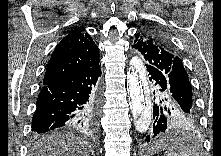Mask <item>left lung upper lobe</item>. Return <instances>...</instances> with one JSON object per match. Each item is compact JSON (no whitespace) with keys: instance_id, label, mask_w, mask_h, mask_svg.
Returning <instances> with one entry per match:
<instances>
[{"instance_id":"5c2ea615","label":"left lung upper lobe","mask_w":221,"mask_h":156,"mask_svg":"<svg viewBox=\"0 0 221 156\" xmlns=\"http://www.w3.org/2000/svg\"><path fill=\"white\" fill-rule=\"evenodd\" d=\"M133 47L142 54L147 63L146 67H153L168 74L171 93L177 103L187 109V112H196L191 84L182 60L175 55L166 38L154 28L147 27L135 34Z\"/></svg>"}]
</instances>
